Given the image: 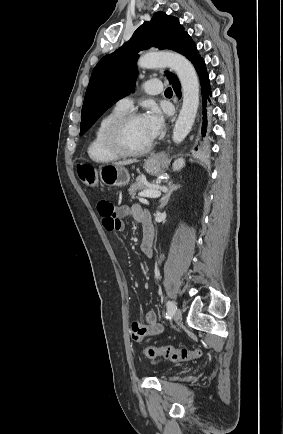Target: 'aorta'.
I'll list each match as a JSON object with an SVG mask.
<instances>
[{
  "instance_id": "aorta-1",
  "label": "aorta",
  "mask_w": 283,
  "mask_h": 434,
  "mask_svg": "<svg viewBox=\"0 0 283 434\" xmlns=\"http://www.w3.org/2000/svg\"><path fill=\"white\" fill-rule=\"evenodd\" d=\"M141 68L170 67L179 77L183 104L173 130V141L182 142L190 132L199 106V81L192 64L176 53H150L138 60Z\"/></svg>"
}]
</instances>
